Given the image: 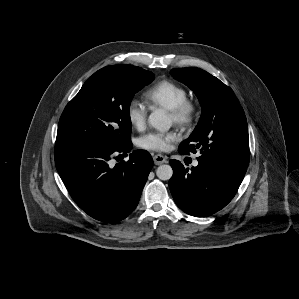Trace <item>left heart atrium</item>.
<instances>
[{"label":"left heart atrium","instance_id":"left-heart-atrium-1","mask_svg":"<svg viewBox=\"0 0 299 299\" xmlns=\"http://www.w3.org/2000/svg\"><path fill=\"white\" fill-rule=\"evenodd\" d=\"M177 135L173 131L146 133L138 138L137 145L146 150L164 151L169 144L176 139Z\"/></svg>","mask_w":299,"mask_h":299}]
</instances>
